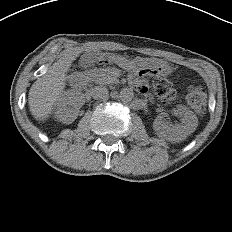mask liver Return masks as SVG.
I'll use <instances>...</instances> for the list:
<instances>
[{"label":"liver","instance_id":"6515ba94","mask_svg":"<svg viewBox=\"0 0 232 232\" xmlns=\"http://www.w3.org/2000/svg\"><path fill=\"white\" fill-rule=\"evenodd\" d=\"M75 57L76 54L59 59L31 86L28 103L36 120L44 121L52 114L53 104L65 88L67 69Z\"/></svg>","mask_w":232,"mask_h":232}]
</instances>
